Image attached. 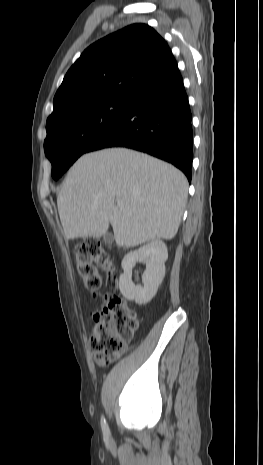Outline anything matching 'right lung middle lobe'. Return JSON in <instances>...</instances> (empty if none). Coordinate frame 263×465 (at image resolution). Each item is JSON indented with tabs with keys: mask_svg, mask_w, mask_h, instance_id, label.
I'll use <instances>...</instances> for the list:
<instances>
[{
	"mask_svg": "<svg viewBox=\"0 0 263 465\" xmlns=\"http://www.w3.org/2000/svg\"><path fill=\"white\" fill-rule=\"evenodd\" d=\"M132 97H111L71 108L46 124L44 150L57 180L127 113Z\"/></svg>",
	"mask_w": 263,
	"mask_h": 465,
	"instance_id": "right-lung-middle-lobe-1",
	"label": "right lung middle lobe"
}]
</instances>
